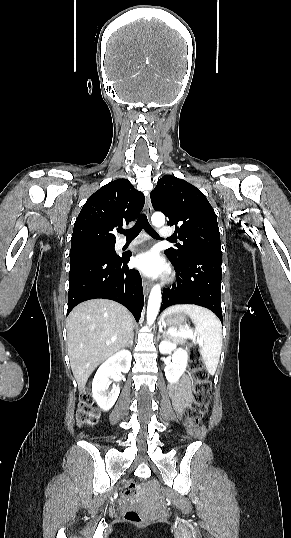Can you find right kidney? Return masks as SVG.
I'll return each mask as SVG.
<instances>
[{
    "instance_id": "right-kidney-1",
    "label": "right kidney",
    "mask_w": 291,
    "mask_h": 538,
    "mask_svg": "<svg viewBox=\"0 0 291 538\" xmlns=\"http://www.w3.org/2000/svg\"><path fill=\"white\" fill-rule=\"evenodd\" d=\"M131 360L132 355L129 351L120 350L98 368L92 382V394L103 411H108L113 407L120 393L119 386L115 384L108 391L110 379L118 381L122 372L127 373L131 367Z\"/></svg>"
}]
</instances>
